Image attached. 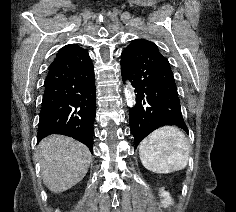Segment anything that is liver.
Listing matches in <instances>:
<instances>
[{
  "label": "liver",
  "mask_w": 236,
  "mask_h": 212,
  "mask_svg": "<svg viewBox=\"0 0 236 212\" xmlns=\"http://www.w3.org/2000/svg\"><path fill=\"white\" fill-rule=\"evenodd\" d=\"M43 182L54 193L79 183L88 171L91 153L82 143L63 135H51L38 146Z\"/></svg>",
  "instance_id": "1"
}]
</instances>
